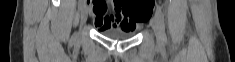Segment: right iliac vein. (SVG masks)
<instances>
[{
	"mask_svg": "<svg viewBox=\"0 0 235 62\" xmlns=\"http://www.w3.org/2000/svg\"><path fill=\"white\" fill-rule=\"evenodd\" d=\"M87 17H88L87 9H86V7H83L81 9V17H80L81 18V25H83L86 22Z\"/></svg>",
	"mask_w": 235,
	"mask_h": 62,
	"instance_id": "63e3f726",
	"label": "right iliac vein"
}]
</instances>
